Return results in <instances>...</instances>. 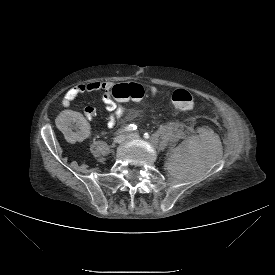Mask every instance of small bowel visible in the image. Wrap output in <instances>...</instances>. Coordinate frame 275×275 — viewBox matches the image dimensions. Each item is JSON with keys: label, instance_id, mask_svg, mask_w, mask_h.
I'll list each match as a JSON object with an SVG mask.
<instances>
[{"label": "small bowel", "instance_id": "small-bowel-1", "mask_svg": "<svg viewBox=\"0 0 275 275\" xmlns=\"http://www.w3.org/2000/svg\"><path fill=\"white\" fill-rule=\"evenodd\" d=\"M115 87L114 83L105 81H94L90 83H80L71 87L63 97V104L68 106L79 95L89 92H100L102 94V105L109 113L107 118V126L109 128L114 127L116 122L124 114V107L112 95V90ZM148 90L151 98H163L169 95V92H161L154 86H148ZM83 115L87 120L93 119L96 115V109L93 106L85 107ZM58 127L61 132H64L69 141L73 144L79 145L84 142L89 136V126L86 120L82 118V115L78 112L67 110L64 111L58 119Z\"/></svg>", "mask_w": 275, "mask_h": 275}]
</instances>
